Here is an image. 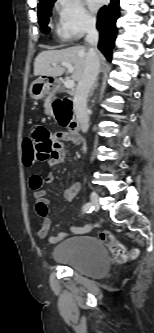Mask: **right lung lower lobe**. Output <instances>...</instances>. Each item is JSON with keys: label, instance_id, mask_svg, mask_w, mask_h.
Wrapping results in <instances>:
<instances>
[{"label": "right lung lower lobe", "instance_id": "right-lung-lower-lobe-1", "mask_svg": "<svg viewBox=\"0 0 154 333\" xmlns=\"http://www.w3.org/2000/svg\"><path fill=\"white\" fill-rule=\"evenodd\" d=\"M119 17V0H111L109 6H104L98 13L97 28L100 32L98 48L111 60V52L116 38V20Z\"/></svg>", "mask_w": 154, "mask_h": 333}]
</instances>
